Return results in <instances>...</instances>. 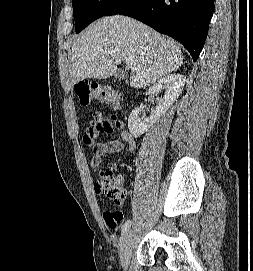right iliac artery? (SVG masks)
<instances>
[{"mask_svg": "<svg viewBox=\"0 0 253 271\" xmlns=\"http://www.w3.org/2000/svg\"><path fill=\"white\" fill-rule=\"evenodd\" d=\"M131 226V221L127 220L121 227V234L124 235L130 228Z\"/></svg>", "mask_w": 253, "mask_h": 271, "instance_id": "right-iliac-artery-1", "label": "right iliac artery"}]
</instances>
